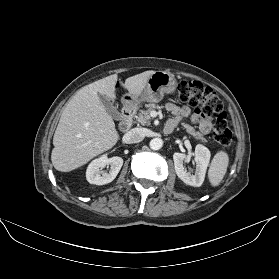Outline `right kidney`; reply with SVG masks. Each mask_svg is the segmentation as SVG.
Returning a JSON list of instances; mask_svg holds the SVG:
<instances>
[{"label":"right kidney","instance_id":"obj_1","mask_svg":"<svg viewBox=\"0 0 279 279\" xmlns=\"http://www.w3.org/2000/svg\"><path fill=\"white\" fill-rule=\"evenodd\" d=\"M123 165V159L115 156L108 158L106 154L93 160L87 168L86 179L90 184L105 185L112 182L119 173ZM106 166H110L109 173L102 170Z\"/></svg>","mask_w":279,"mask_h":279}]
</instances>
